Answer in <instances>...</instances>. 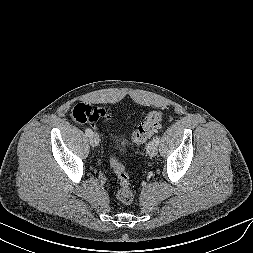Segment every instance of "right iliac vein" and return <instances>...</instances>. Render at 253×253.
Listing matches in <instances>:
<instances>
[{
    "instance_id": "right-iliac-vein-1",
    "label": "right iliac vein",
    "mask_w": 253,
    "mask_h": 253,
    "mask_svg": "<svg viewBox=\"0 0 253 253\" xmlns=\"http://www.w3.org/2000/svg\"><path fill=\"white\" fill-rule=\"evenodd\" d=\"M99 141H100V139H99V136H98L97 133H93V134L90 136V144H91V146H93V147L98 146Z\"/></svg>"
}]
</instances>
